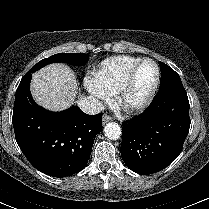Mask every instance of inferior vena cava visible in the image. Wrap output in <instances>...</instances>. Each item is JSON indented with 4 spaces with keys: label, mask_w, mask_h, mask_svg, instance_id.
I'll use <instances>...</instances> for the list:
<instances>
[{
    "label": "inferior vena cava",
    "mask_w": 209,
    "mask_h": 209,
    "mask_svg": "<svg viewBox=\"0 0 209 209\" xmlns=\"http://www.w3.org/2000/svg\"><path fill=\"white\" fill-rule=\"evenodd\" d=\"M79 108L90 115H95L104 110V105L95 97H82L78 101Z\"/></svg>",
    "instance_id": "602c4592"
}]
</instances>
